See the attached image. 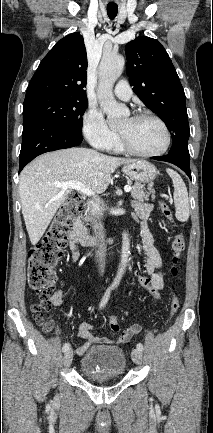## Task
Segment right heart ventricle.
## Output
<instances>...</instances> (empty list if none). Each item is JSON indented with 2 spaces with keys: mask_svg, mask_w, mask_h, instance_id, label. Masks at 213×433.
I'll return each instance as SVG.
<instances>
[{
  "mask_svg": "<svg viewBox=\"0 0 213 433\" xmlns=\"http://www.w3.org/2000/svg\"><path fill=\"white\" fill-rule=\"evenodd\" d=\"M110 150H114L116 152H121L122 151V148H121V146L119 144L118 139H116V141L114 142V144L111 146Z\"/></svg>",
  "mask_w": 213,
  "mask_h": 433,
  "instance_id": "obj_1",
  "label": "right heart ventricle"
}]
</instances>
